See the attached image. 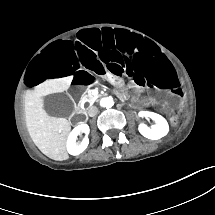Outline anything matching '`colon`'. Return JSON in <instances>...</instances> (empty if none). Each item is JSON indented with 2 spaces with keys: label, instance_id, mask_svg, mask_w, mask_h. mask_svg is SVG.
<instances>
[{
  "label": "colon",
  "instance_id": "colon-1",
  "mask_svg": "<svg viewBox=\"0 0 215 215\" xmlns=\"http://www.w3.org/2000/svg\"><path fill=\"white\" fill-rule=\"evenodd\" d=\"M171 124H172L173 126H177V125H178V120H177V117H176V116H173V117L171 118Z\"/></svg>",
  "mask_w": 215,
  "mask_h": 215
}]
</instances>
